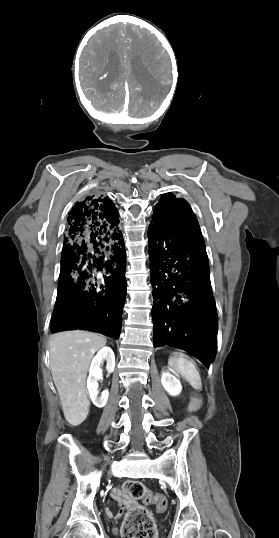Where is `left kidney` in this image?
Here are the masks:
<instances>
[{"mask_svg": "<svg viewBox=\"0 0 279 538\" xmlns=\"http://www.w3.org/2000/svg\"><path fill=\"white\" fill-rule=\"evenodd\" d=\"M161 384L170 396H178V394H181L182 392V386L179 380H177L173 374H170L168 370L162 372Z\"/></svg>", "mask_w": 279, "mask_h": 538, "instance_id": "obj_1", "label": "left kidney"}]
</instances>
